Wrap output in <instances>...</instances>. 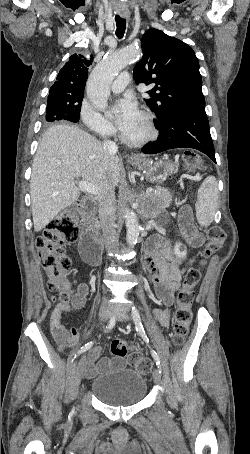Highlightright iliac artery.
<instances>
[{
	"mask_svg": "<svg viewBox=\"0 0 250 454\" xmlns=\"http://www.w3.org/2000/svg\"><path fill=\"white\" fill-rule=\"evenodd\" d=\"M115 322H116V319H115V317L113 316V317L109 320L108 325L106 326V329H107V330H108V329H112V328L114 327V325H115ZM92 345H93V342H92V341H91V342H88L87 344H85V345L77 352V354L80 355L81 353H83V352L89 350V349L92 347ZM76 356H77L76 354L73 356L72 362H73V360L76 358Z\"/></svg>",
	"mask_w": 250,
	"mask_h": 454,
	"instance_id": "82829eb1",
	"label": "right iliac artery"
}]
</instances>
